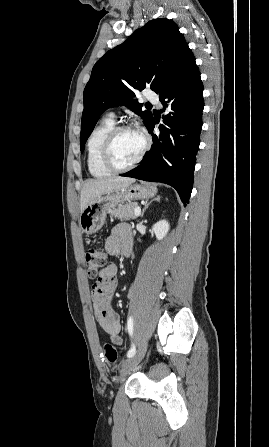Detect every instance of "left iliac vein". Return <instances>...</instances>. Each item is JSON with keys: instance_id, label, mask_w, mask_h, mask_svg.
<instances>
[{"instance_id": "1", "label": "left iliac vein", "mask_w": 269, "mask_h": 447, "mask_svg": "<svg viewBox=\"0 0 269 447\" xmlns=\"http://www.w3.org/2000/svg\"><path fill=\"white\" fill-rule=\"evenodd\" d=\"M146 348H147V342L144 341L140 344L138 351L132 357L128 358L127 360H125L120 364L121 375L117 377V379H120L125 375H127L130 372V370L141 361V359L144 356Z\"/></svg>"}]
</instances>
